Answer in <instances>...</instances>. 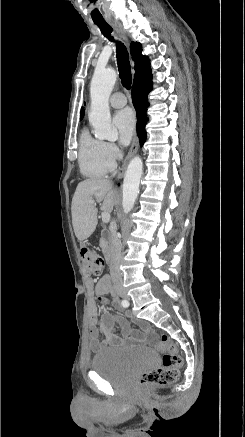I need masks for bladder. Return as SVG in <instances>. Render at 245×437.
<instances>
[{"label":"bladder","instance_id":"bladder-1","mask_svg":"<svg viewBox=\"0 0 245 437\" xmlns=\"http://www.w3.org/2000/svg\"><path fill=\"white\" fill-rule=\"evenodd\" d=\"M156 362V354L149 348H108L92 358L91 368L110 383L124 386L138 374L154 367Z\"/></svg>","mask_w":245,"mask_h":437}]
</instances>
